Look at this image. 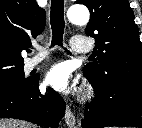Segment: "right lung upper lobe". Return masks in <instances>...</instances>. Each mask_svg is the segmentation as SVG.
Here are the masks:
<instances>
[{"label":"right lung upper lobe","mask_w":142,"mask_h":128,"mask_svg":"<svg viewBox=\"0 0 142 128\" xmlns=\"http://www.w3.org/2000/svg\"><path fill=\"white\" fill-rule=\"evenodd\" d=\"M46 24L36 0H0V67H23L22 50L31 47Z\"/></svg>","instance_id":"cb5924a9"}]
</instances>
